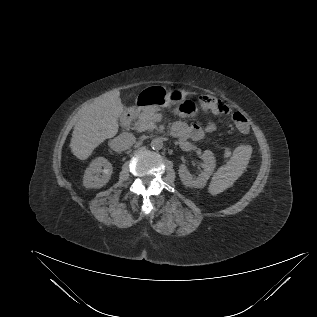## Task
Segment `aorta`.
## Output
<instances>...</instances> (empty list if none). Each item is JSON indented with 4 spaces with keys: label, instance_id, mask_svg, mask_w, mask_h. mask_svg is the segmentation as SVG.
<instances>
[{
    "label": "aorta",
    "instance_id": "aorta-1",
    "mask_svg": "<svg viewBox=\"0 0 317 317\" xmlns=\"http://www.w3.org/2000/svg\"><path fill=\"white\" fill-rule=\"evenodd\" d=\"M150 146L153 150H161L163 148V141L161 138H154L151 141Z\"/></svg>",
    "mask_w": 317,
    "mask_h": 317
}]
</instances>
